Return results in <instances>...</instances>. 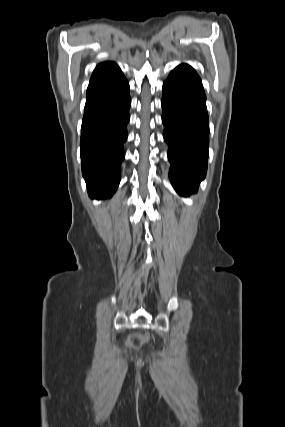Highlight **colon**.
<instances>
[{
	"label": "colon",
	"mask_w": 285,
	"mask_h": 427,
	"mask_svg": "<svg viewBox=\"0 0 285 427\" xmlns=\"http://www.w3.org/2000/svg\"><path fill=\"white\" fill-rule=\"evenodd\" d=\"M145 340H146V337L144 336H141L139 334H132L129 337L128 343L131 347L138 348L143 344Z\"/></svg>",
	"instance_id": "colon-1"
}]
</instances>
